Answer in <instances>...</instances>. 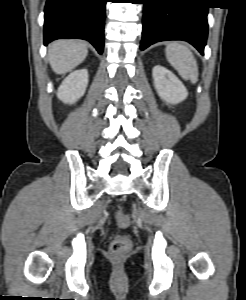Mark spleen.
<instances>
[{"label":"spleen","instance_id":"obj_1","mask_svg":"<svg viewBox=\"0 0 246 300\" xmlns=\"http://www.w3.org/2000/svg\"><path fill=\"white\" fill-rule=\"evenodd\" d=\"M168 62L178 71L179 75L192 83L198 81V66L190 49L178 42L169 43L165 49Z\"/></svg>","mask_w":246,"mask_h":300}]
</instances>
